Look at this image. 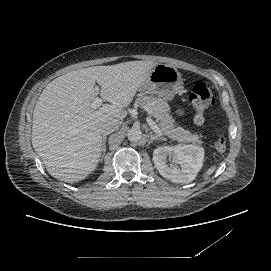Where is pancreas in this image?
<instances>
[{"instance_id":"1","label":"pancreas","mask_w":271,"mask_h":271,"mask_svg":"<svg viewBox=\"0 0 271 271\" xmlns=\"http://www.w3.org/2000/svg\"><path fill=\"white\" fill-rule=\"evenodd\" d=\"M136 102L142 108H149L151 110V114L157 120L158 125L165 134L162 138L166 139L165 137H170L181 143L190 142L198 146L203 144L201 135L186 131L167 113L169 107L165 99L143 96L138 98Z\"/></svg>"}]
</instances>
